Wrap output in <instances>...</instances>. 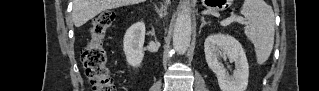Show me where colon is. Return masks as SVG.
<instances>
[{
	"label": "colon",
	"instance_id": "colon-1",
	"mask_svg": "<svg viewBox=\"0 0 319 91\" xmlns=\"http://www.w3.org/2000/svg\"><path fill=\"white\" fill-rule=\"evenodd\" d=\"M114 13L107 11L99 14L90 27V38L82 50L85 73L90 80L92 90L114 91L115 84L107 66L104 38L114 22Z\"/></svg>",
	"mask_w": 319,
	"mask_h": 91
}]
</instances>
